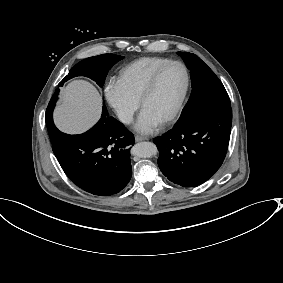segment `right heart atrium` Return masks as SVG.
Wrapping results in <instances>:
<instances>
[{
	"label": "right heart atrium",
	"mask_w": 283,
	"mask_h": 283,
	"mask_svg": "<svg viewBox=\"0 0 283 283\" xmlns=\"http://www.w3.org/2000/svg\"><path fill=\"white\" fill-rule=\"evenodd\" d=\"M104 95L107 103L123 123H129L138 108L134 100L124 89L117 78H110L104 85Z\"/></svg>",
	"instance_id": "obj_1"
}]
</instances>
